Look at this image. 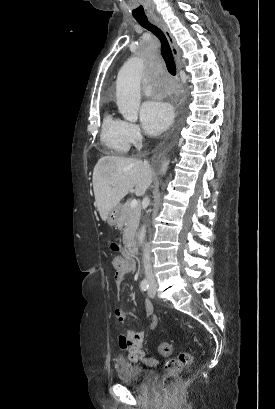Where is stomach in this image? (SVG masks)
<instances>
[{"mask_svg": "<svg viewBox=\"0 0 275 409\" xmlns=\"http://www.w3.org/2000/svg\"><path fill=\"white\" fill-rule=\"evenodd\" d=\"M121 209H122L121 205H116V207H113V209H111L107 217V223L108 225H110V227H116L120 219Z\"/></svg>", "mask_w": 275, "mask_h": 409, "instance_id": "1", "label": "stomach"}]
</instances>
